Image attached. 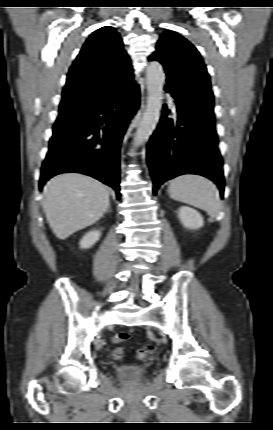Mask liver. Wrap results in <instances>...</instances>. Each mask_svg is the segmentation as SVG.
<instances>
[{"label":"liver","instance_id":"liver-1","mask_svg":"<svg viewBox=\"0 0 273 430\" xmlns=\"http://www.w3.org/2000/svg\"><path fill=\"white\" fill-rule=\"evenodd\" d=\"M43 194L47 221L61 240L97 222L110 205L107 187L81 173H63L51 178Z\"/></svg>","mask_w":273,"mask_h":430}]
</instances>
